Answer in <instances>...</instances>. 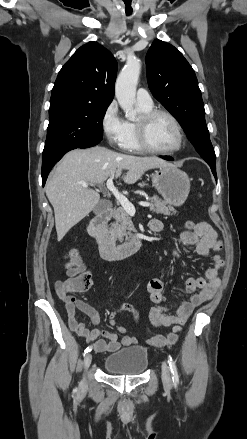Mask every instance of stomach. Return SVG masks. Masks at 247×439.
I'll use <instances>...</instances> for the list:
<instances>
[{"label":"stomach","mask_w":247,"mask_h":439,"mask_svg":"<svg viewBox=\"0 0 247 439\" xmlns=\"http://www.w3.org/2000/svg\"><path fill=\"white\" fill-rule=\"evenodd\" d=\"M151 181L169 205L181 206L190 192L188 175L174 165L160 167L151 174Z\"/></svg>","instance_id":"1"}]
</instances>
